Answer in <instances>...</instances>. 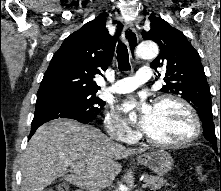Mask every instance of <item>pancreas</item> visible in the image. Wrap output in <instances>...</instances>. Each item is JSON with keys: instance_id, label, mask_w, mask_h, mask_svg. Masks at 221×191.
Segmentation results:
<instances>
[{"instance_id": "cf45deb5", "label": "pancreas", "mask_w": 221, "mask_h": 191, "mask_svg": "<svg viewBox=\"0 0 221 191\" xmlns=\"http://www.w3.org/2000/svg\"><path fill=\"white\" fill-rule=\"evenodd\" d=\"M143 181L147 187H150L152 190L160 189L162 186L169 185L164 178H160L152 175H145ZM175 187V186H174Z\"/></svg>"}]
</instances>
